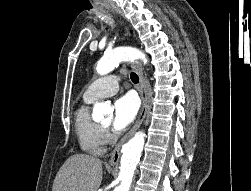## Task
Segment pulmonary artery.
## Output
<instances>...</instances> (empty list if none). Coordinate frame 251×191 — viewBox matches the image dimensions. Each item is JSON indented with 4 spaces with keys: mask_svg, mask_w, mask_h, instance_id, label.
Segmentation results:
<instances>
[{
    "mask_svg": "<svg viewBox=\"0 0 251 191\" xmlns=\"http://www.w3.org/2000/svg\"><path fill=\"white\" fill-rule=\"evenodd\" d=\"M120 80L116 74L101 76L87 86L83 96L89 100L112 96L118 92Z\"/></svg>",
    "mask_w": 251,
    "mask_h": 191,
    "instance_id": "e3ab8cb5",
    "label": "pulmonary artery"
}]
</instances>
